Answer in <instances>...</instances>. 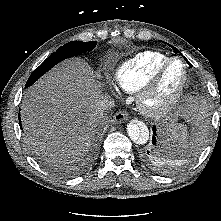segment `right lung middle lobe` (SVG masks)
Instances as JSON below:
<instances>
[{
  "mask_svg": "<svg viewBox=\"0 0 221 221\" xmlns=\"http://www.w3.org/2000/svg\"><path fill=\"white\" fill-rule=\"evenodd\" d=\"M97 42H81V41H71L63 46H61L56 52L50 55L29 77L26 87L31 86L39 77L50 70L58 62L72 57L74 55L85 53L87 51L95 48Z\"/></svg>",
  "mask_w": 221,
  "mask_h": 221,
  "instance_id": "right-lung-middle-lobe-1",
  "label": "right lung middle lobe"
}]
</instances>
